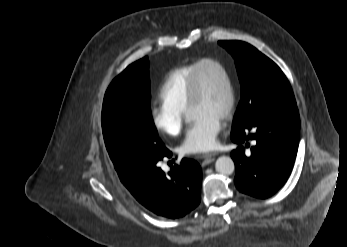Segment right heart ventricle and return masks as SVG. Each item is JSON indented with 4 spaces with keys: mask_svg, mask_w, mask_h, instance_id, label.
Masks as SVG:
<instances>
[{
    "mask_svg": "<svg viewBox=\"0 0 347 247\" xmlns=\"http://www.w3.org/2000/svg\"><path fill=\"white\" fill-rule=\"evenodd\" d=\"M197 62L177 67L169 72L159 91L163 104L181 112L187 110L189 85Z\"/></svg>",
    "mask_w": 347,
    "mask_h": 247,
    "instance_id": "obj_1",
    "label": "right heart ventricle"
}]
</instances>
